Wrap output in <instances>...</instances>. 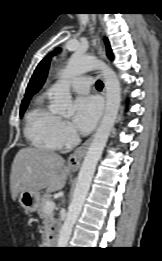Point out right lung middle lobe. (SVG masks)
<instances>
[{
  "label": "right lung middle lobe",
  "mask_w": 162,
  "mask_h": 261,
  "mask_svg": "<svg viewBox=\"0 0 162 261\" xmlns=\"http://www.w3.org/2000/svg\"><path fill=\"white\" fill-rule=\"evenodd\" d=\"M29 100L23 101L20 108V116H22L28 106Z\"/></svg>",
  "instance_id": "right-lung-middle-lobe-1"
}]
</instances>
